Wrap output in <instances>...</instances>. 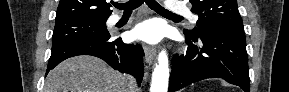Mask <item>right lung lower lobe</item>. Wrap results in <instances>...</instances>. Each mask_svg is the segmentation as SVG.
<instances>
[{
  "mask_svg": "<svg viewBox=\"0 0 289 92\" xmlns=\"http://www.w3.org/2000/svg\"><path fill=\"white\" fill-rule=\"evenodd\" d=\"M108 38L99 40H83L52 49L47 73L63 60L77 55H92L106 61L111 67L134 75L140 85L143 75L144 52L140 45L125 44L121 39L114 41Z\"/></svg>",
  "mask_w": 289,
  "mask_h": 92,
  "instance_id": "right-lung-lower-lobe-1",
  "label": "right lung lower lobe"
}]
</instances>
